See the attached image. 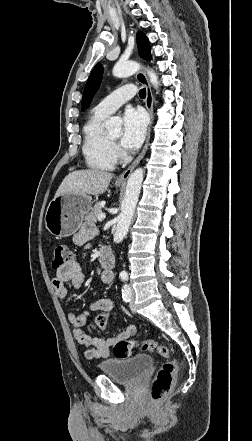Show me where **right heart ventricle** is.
<instances>
[{
	"label": "right heart ventricle",
	"instance_id": "right-heart-ventricle-1",
	"mask_svg": "<svg viewBox=\"0 0 252 441\" xmlns=\"http://www.w3.org/2000/svg\"><path fill=\"white\" fill-rule=\"evenodd\" d=\"M106 116L94 110L83 126L82 153L87 166L98 171H112L116 165L114 149L103 130Z\"/></svg>",
	"mask_w": 252,
	"mask_h": 441
}]
</instances>
